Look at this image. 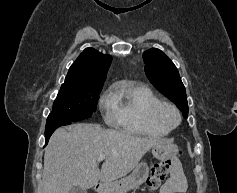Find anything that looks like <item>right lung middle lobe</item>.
Returning <instances> with one entry per match:
<instances>
[{
    "instance_id": "obj_1",
    "label": "right lung middle lobe",
    "mask_w": 237,
    "mask_h": 193,
    "mask_svg": "<svg viewBox=\"0 0 237 193\" xmlns=\"http://www.w3.org/2000/svg\"><path fill=\"white\" fill-rule=\"evenodd\" d=\"M102 86L90 87L75 84H62L49 114L69 121H79L92 116Z\"/></svg>"
}]
</instances>
